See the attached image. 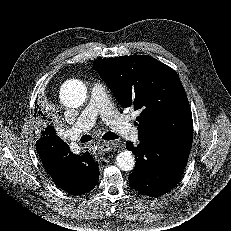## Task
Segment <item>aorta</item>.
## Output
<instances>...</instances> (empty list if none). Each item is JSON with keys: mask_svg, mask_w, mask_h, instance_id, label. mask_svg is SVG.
Returning <instances> with one entry per match:
<instances>
[{"mask_svg": "<svg viewBox=\"0 0 231 231\" xmlns=\"http://www.w3.org/2000/svg\"><path fill=\"white\" fill-rule=\"evenodd\" d=\"M87 90L79 80L66 81L60 90L61 102L69 108H78L86 100ZM116 164L122 171H131L135 166L133 154L124 150L116 156Z\"/></svg>", "mask_w": 231, "mask_h": 231, "instance_id": "obj_1", "label": "aorta"}]
</instances>
